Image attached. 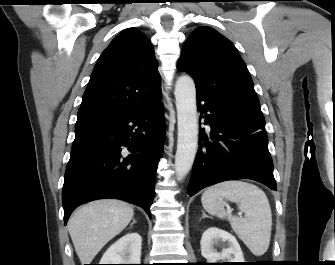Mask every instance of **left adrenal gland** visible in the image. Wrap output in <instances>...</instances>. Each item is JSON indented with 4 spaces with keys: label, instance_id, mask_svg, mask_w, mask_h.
<instances>
[{
    "label": "left adrenal gland",
    "instance_id": "obj_1",
    "mask_svg": "<svg viewBox=\"0 0 335 265\" xmlns=\"http://www.w3.org/2000/svg\"><path fill=\"white\" fill-rule=\"evenodd\" d=\"M204 217H208V216H207V214H205L204 211H202V218H204Z\"/></svg>",
    "mask_w": 335,
    "mask_h": 265
}]
</instances>
